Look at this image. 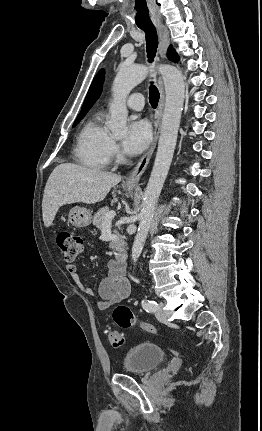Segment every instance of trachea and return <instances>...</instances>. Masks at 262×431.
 I'll return each instance as SVG.
<instances>
[{
    "instance_id": "obj_1",
    "label": "trachea",
    "mask_w": 262,
    "mask_h": 431,
    "mask_svg": "<svg viewBox=\"0 0 262 431\" xmlns=\"http://www.w3.org/2000/svg\"><path fill=\"white\" fill-rule=\"evenodd\" d=\"M135 7L140 15L148 13V8L145 0H135ZM145 32L146 35V49L148 62L152 63L158 48V36L154 26H138ZM149 102L153 108L157 107L159 101V91L153 84L150 86Z\"/></svg>"
}]
</instances>
